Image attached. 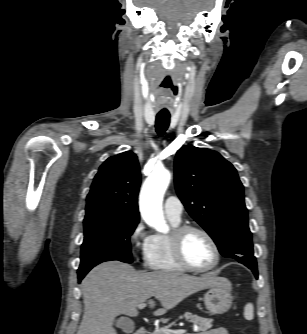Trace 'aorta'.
<instances>
[{
	"label": "aorta",
	"instance_id": "obj_1",
	"mask_svg": "<svg viewBox=\"0 0 307 334\" xmlns=\"http://www.w3.org/2000/svg\"><path fill=\"white\" fill-rule=\"evenodd\" d=\"M170 179L171 174L167 169H155L143 184L139 197L142 218L160 233L169 230L163 215L162 201Z\"/></svg>",
	"mask_w": 307,
	"mask_h": 334
}]
</instances>
